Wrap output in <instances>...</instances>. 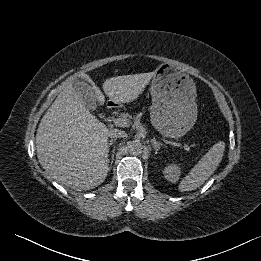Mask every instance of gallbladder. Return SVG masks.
I'll use <instances>...</instances> for the list:
<instances>
[{"label":"gallbladder","mask_w":261,"mask_h":261,"mask_svg":"<svg viewBox=\"0 0 261 261\" xmlns=\"http://www.w3.org/2000/svg\"><path fill=\"white\" fill-rule=\"evenodd\" d=\"M72 84L85 106L89 110H95L97 108V99L91 86L78 78H75Z\"/></svg>","instance_id":"obj_1"}]
</instances>
